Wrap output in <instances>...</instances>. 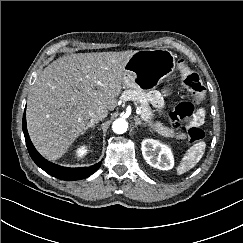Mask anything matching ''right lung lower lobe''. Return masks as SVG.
I'll list each match as a JSON object with an SVG mask.
<instances>
[{"instance_id": "98d812e1", "label": "right lung lower lobe", "mask_w": 243, "mask_h": 243, "mask_svg": "<svg viewBox=\"0 0 243 243\" xmlns=\"http://www.w3.org/2000/svg\"><path fill=\"white\" fill-rule=\"evenodd\" d=\"M23 132L25 136L26 146L28 152L41 169L50 174L53 177L62 179V180H79L88 177L93 174L101 165V162L90 166V167H81V168H66L56 164H53L46 159H44L34 148L26 128V114H23Z\"/></svg>"}]
</instances>
